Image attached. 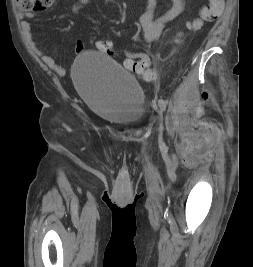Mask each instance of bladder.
<instances>
[{
  "mask_svg": "<svg viewBox=\"0 0 253 267\" xmlns=\"http://www.w3.org/2000/svg\"><path fill=\"white\" fill-rule=\"evenodd\" d=\"M71 75L78 93L101 119L119 126H133L142 121L147 107L144 88L106 54L80 53Z\"/></svg>",
  "mask_w": 253,
  "mask_h": 267,
  "instance_id": "bladder-1",
  "label": "bladder"
}]
</instances>
